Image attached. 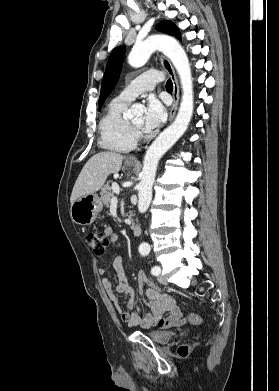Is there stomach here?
I'll use <instances>...</instances> for the list:
<instances>
[{
    "mask_svg": "<svg viewBox=\"0 0 279 391\" xmlns=\"http://www.w3.org/2000/svg\"><path fill=\"white\" fill-rule=\"evenodd\" d=\"M127 166L133 167L134 164ZM103 204L96 194L85 195L80 197L71 204L70 215L74 223L79 225H90L94 222L97 215L102 211Z\"/></svg>",
    "mask_w": 279,
    "mask_h": 391,
    "instance_id": "1",
    "label": "stomach"
}]
</instances>
